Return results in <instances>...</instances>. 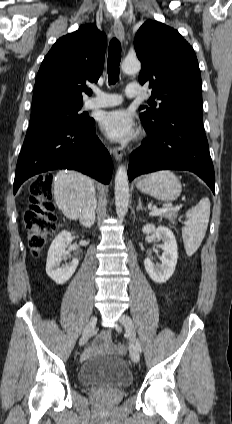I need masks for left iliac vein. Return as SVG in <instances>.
<instances>
[{
  "label": "left iliac vein",
  "mask_w": 232,
  "mask_h": 424,
  "mask_svg": "<svg viewBox=\"0 0 232 424\" xmlns=\"http://www.w3.org/2000/svg\"><path fill=\"white\" fill-rule=\"evenodd\" d=\"M120 323L124 327L130 339V357L133 362L138 363L140 360V354L136 345V333L133 321L129 316L123 314L120 317Z\"/></svg>",
  "instance_id": "obj_1"
}]
</instances>
